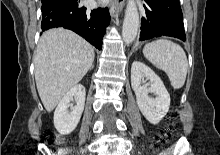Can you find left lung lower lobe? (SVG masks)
<instances>
[{
    "label": "left lung lower lobe",
    "mask_w": 220,
    "mask_h": 155,
    "mask_svg": "<svg viewBox=\"0 0 220 155\" xmlns=\"http://www.w3.org/2000/svg\"><path fill=\"white\" fill-rule=\"evenodd\" d=\"M139 40L171 36L186 40L179 0H145Z\"/></svg>",
    "instance_id": "left-lung-lower-lobe-1"
}]
</instances>
